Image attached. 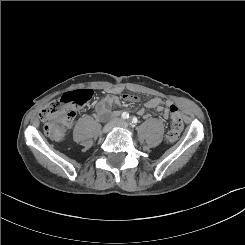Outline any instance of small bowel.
Listing matches in <instances>:
<instances>
[{
    "label": "small bowel",
    "instance_id": "obj_1",
    "mask_svg": "<svg viewBox=\"0 0 245 245\" xmlns=\"http://www.w3.org/2000/svg\"><path fill=\"white\" fill-rule=\"evenodd\" d=\"M123 101L127 104H134L138 102V97L131 94H126L123 96ZM170 102L163 100L159 97H154L146 101L145 106L149 109H154L158 112L163 113L165 119H168L167 106H169ZM120 105V100L116 96H106L100 99L95 105V116L97 118H105L114 107ZM139 115L148 116L144 109H140L138 111Z\"/></svg>",
    "mask_w": 245,
    "mask_h": 245
}]
</instances>
